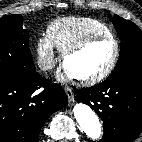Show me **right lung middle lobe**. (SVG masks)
<instances>
[{
    "mask_svg": "<svg viewBox=\"0 0 142 142\" xmlns=\"http://www.w3.org/2000/svg\"><path fill=\"white\" fill-rule=\"evenodd\" d=\"M19 14L0 20V79L22 77L35 71L28 31Z\"/></svg>",
    "mask_w": 142,
    "mask_h": 142,
    "instance_id": "dd1d6c3e",
    "label": "right lung middle lobe"
}]
</instances>
